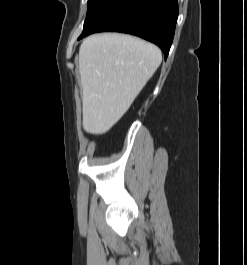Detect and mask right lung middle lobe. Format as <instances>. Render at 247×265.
Instances as JSON below:
<instances>
[{
	"label": "right lung middle lobe",
	"mask_w": 247,
	"mask_h": 265,
	"mask_svg": "<svg viewBox=\"0 0 247 265\" xmlns=\"http://www.w3.org/2000/svg\"><path fill=\"white\" fill-rule=\"evenodd\" d=\"M100 2V0H88L87 15L94 9V7Z\"/></svg>",
	"instance_id": "dd1d6c3e"
}]
</instances>
